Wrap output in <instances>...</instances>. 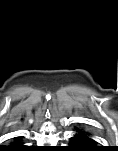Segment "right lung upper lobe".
<instances>
[{
    "label": "right lung upper lobe",
    "instance_id": "1",
    "mask_svg": "<svg viewBox=\"0 0 118 151\" xmlns=\"http://www.w3.org/2000/svg\"><path fill=\"white\" fill-rule=\"evenodd\" d=\"M14 146V145H13ZM4 148H2V149H6V147L5 146H3Z\"/></svg>",
    "mask_w": 118,
    "mask_h": 151
}]
</instances>
